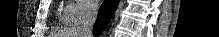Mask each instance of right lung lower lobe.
<instances>
[{"instance_id": "obj_1", "label": "right lung lower lobe", "mask_w": 219, "mask_h": 37, "mask_svg": "<svg viewBox=\"0 0 219 37\" xmlns=\"http://www.w3.org/2000/svg\"><path fill=\"white\" fill-rule=\"evenodd\" d=\"M117 3L118 0H106L103 2L97 20L93 27L94 37H99V35H101L107 23L110 21L117 6Z\"/></svg>"}]
</instances>
